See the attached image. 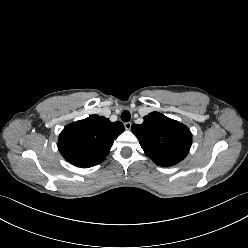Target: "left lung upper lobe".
Masks as SVG:
<instances>
[{"mask_svg": "<svg viewBox=\"0 0 248 248\" xmlns=\"http://www.w3.org/2000/svg\"><path fill=\"white\" fill-rule=\"evenodd\" d=\"M132 132L146 155L160 166L182 161L192 144V134L187 126L158 112L145 116L140 125L133 124Z\"/></svg>", "mask_w": 248, "mask_h": 248, "instance_id": "5c2ea615", "label": "left lung upper lobe"}]
</instances>
